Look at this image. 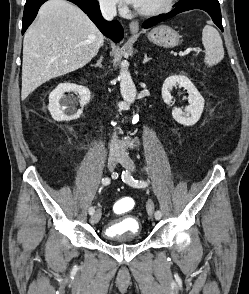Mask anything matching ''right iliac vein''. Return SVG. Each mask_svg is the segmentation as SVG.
<instances>
[{
  "mask_svg": "<svg viewBox=\"0 0 249 294\" xmlns=\"http://www.w3.org/2000/svg\"><path fill=\"white\" fill-rule=\"evenodd\" d=\"M118 152L116 150H111L108 155V169L109 171H113L116 167L117 161H118ZM101 219V211L98 209L96 212L91 216L90 223L92 225L97 224Z\"/></svg>",
  "mask_w": 249,
  "mask_h": 294,
  "instance_id": "63e3f726",
  "label": "right iliac vein"
}]
</instances>
